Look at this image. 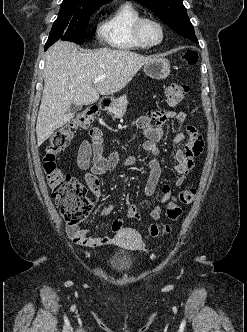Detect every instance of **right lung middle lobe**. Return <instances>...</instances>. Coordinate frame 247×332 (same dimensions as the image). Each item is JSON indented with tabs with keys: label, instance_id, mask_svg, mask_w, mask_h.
I'll return each mask as SVG.
<instances>
[{
	"label": "right lung middle lobe",
	"instance_id": "obj_1",
	"mask_svg": "<svg viewBox=\"0 0 247 332\" xmlns=\"http://www.w3.org/2000/svg\"><path fill=\"white\" fill-rule=\"evenodd\" d=\"M103 4L63 1L47 43L57 40L83 44L90 16Z\"/></svg>",
	"mask_w": 247,
	"mask_h": 332
}]
</instances>
